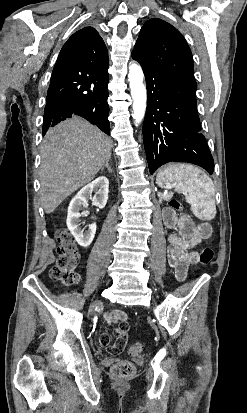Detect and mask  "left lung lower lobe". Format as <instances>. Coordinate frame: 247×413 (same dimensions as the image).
<instances>
[{
    "label": "left lung lower lobe",
    "instance_id": "1",
    "mask_svg": "<svg viewBox=\"0 0 247 413\" xmlns=\"http://www.w3.org/2000/svg\"><path fill=\"white\" fill-rule=\"evenodd\" d=\"M144 71L147 110L143 124L146 157L152 174L168 162H188L210 174L214 161L197 113L196 88L132 54Z\"/></svg>",
    "mask_w": 247,
    "mask_h": 413
}]
</instances>
